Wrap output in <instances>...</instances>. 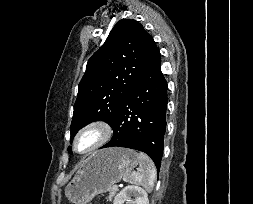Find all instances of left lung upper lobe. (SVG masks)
Here are the masks:
<instances>
[{"mask_svg": "<svg viewBox=\"0 0 253 204\" xmlns=\"http://www.w3.org/2000/svg\"><path fill=\"white\" fill-rule=\"evenodd\" d=\"M156 48L152 36L138 21L122 19L116 23L105 43L88 60L78 85L72 137L93 121L113 123ZM68 152L72 154L71 147Z\"/></svg>", "mask_w": 253, "mask_h": 204, "instance_id": "1", "label": "left lung upper lobe"}]
</instances>
